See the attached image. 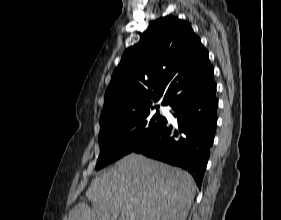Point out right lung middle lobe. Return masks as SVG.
Listing matches in <instances>:
<instances>
[{"label": "right lung middle lobe", "mask_w": 281, "mask_h": 220, "mask_svg": "<svg viewBox=\"0 0 281 220\" xmlns=\"http://www.w3.org/2000/svg\"><path fill=\"white\" fill-rule=\"evenodd\" d=\"M166 119L145 109L115 119L100 128L96 170L131 153L155 135Z\"/></svg>", "instance_id": "right-lung-middle-lobe-1"}]
</instances>
